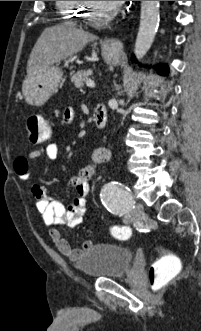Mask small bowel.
<instances>
[{
  "instance_id": "c3829d8e",
  "label": "small bowel",
  "mask_w": 201,
  "mask_h": 331,
  "mask_svg": "<svg viewBox=\"0 0 201 331\" xmlns=\"http://www.w3.org/2000/svg\"><path fill=\"white\" fill-rule=\"evenodd\" d=\"M74 112L66 109L63 113V123L68 124L73 120ZM59 156V144L51 140L44 146H40L30 152L27 156L19 157L14 161V170L23 180H30L29 162L32 159L45 157L55 161ZM111 158V150L108 147L96 148L88 164L81 167L78 175L70 178L68 185L76 191L75 199L66 206L63 202L53 199L47 190L39 185L33 184L31 188L35 199L36 208L40 213L44 224L49 228V235L57 249L70 260L80 259L82 254L91 248L94 243L85 241L80 248H73L69 241L64 238L58 230L59 226L76 227L83 221L87 198L90 194L89 181L94 177L96 166L107 162Z\"/></svg>"
}]
</instances>
